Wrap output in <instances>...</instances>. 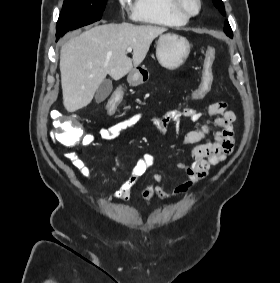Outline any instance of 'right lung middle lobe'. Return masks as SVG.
Here are the masks:
<instances>
[{
  "mask_svg": "<svg viewBox=\"0 0 280 283\" xmlns=\"http://www.w3.org/2000/svg\"><path fill=\"white\" fill-rule=\"evenodd\" d=\"M107 0H64L56 27V37L69 30L89 25L101 19Z\"/></svg>",
  "mask_w": 280,
  "mask_h": 283,
  "instance_id": "1",
  "label": "right lung middle lobe"
}]
</instances>
